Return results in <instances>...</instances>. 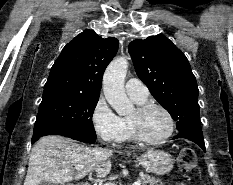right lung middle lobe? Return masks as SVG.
<instances>
[{
	"label": "right lung middle lobe",
	"mask_w": 233,
	"mask_h": 185,
	"mask_svg": "<svg viewBox=\"0 0 233 185\" xmlns=\"http://www.w3.org/2000/svg\"><path fill=\"white\" fill-rule=\"evenodd\" d=\"M99 96L64 91L44 92L34 126L32 143L41 136L56 134L72 138H96L92 115Z\"/></svg>",
	"instance_id": "dd1d6c3e"
}]
</instances>
